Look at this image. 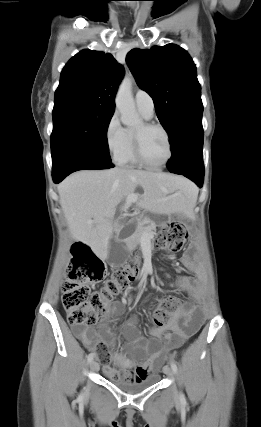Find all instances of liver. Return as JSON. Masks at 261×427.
Returning <instances> with one entry per match:
<instances>
[{
    "label": "liver",
    "instance_id": "1",
    "mask_svg": "<svg viewBox=\"0 0 261 427\" xmlns=\"http://www.w3.org/2000/svg\"><path fill=\"white\" fill-rule=\"evenodd\" d=\"M137 186L144 190L137 205L145 211L169 215L188 213L195 206L197 190L181 176L124 168L78 171L58 185L60 205L72 238L106 259L114 227L119 226L118 220L113 221L116 207Z\"/></svg>",
    "mask_w": 261,
    "mask_h": 427
}]
</instances>
